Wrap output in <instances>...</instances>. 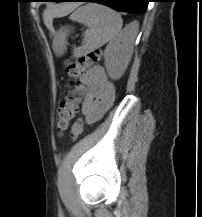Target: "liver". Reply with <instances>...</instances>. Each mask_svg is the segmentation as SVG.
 <instances>
[{"label":"liver","instance_id":"6515ba94","mask_svg":"<svg viewBox=\"0 0 202 217\" xmlns=\"http://www.w3.org/2000/svg\"><path fill=\"white\" fill-rule=\"evenodd\" d=\"M75 5L73 4H65V5H58L56 7L46 9L43 13L44 23L48 28L52 26V19L55 17H63L73 11Z\"/></svg>","mask_w":202,"mask_h":217}]
</instances>
